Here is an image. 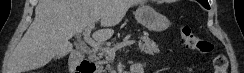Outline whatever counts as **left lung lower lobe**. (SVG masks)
<instances>
[{"instance_id":"0a47b994","label":"left lung lower lobe","mask_w":244,"mask_h":73,"mask_svg":"<svg viewBox=\"0 0 244 73\" xmlns=\"http://www.w3.org/2000/svg\"><path fill=\"white\" fill-rule=\"evenodd\" d=\"M202 5H205L204 0H198ZM207 9H210L209 5H207Z\"/></svg>"}]
</instances>
